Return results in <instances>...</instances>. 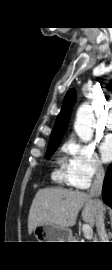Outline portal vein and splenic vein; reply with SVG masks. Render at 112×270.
Segmentation results:
<instances>
[{
  "label": "portal vein and splenic vein",
  "mask_w": 112,
  "mask_h": 270,
  "mask_svg": "<svg viewBox=\"0 0 112 270\" xmlns=\"http://www.w3.org/2000/svg\"><path fill=\"white\" fill-rule=\"evenodd\" d=\"M82 231L86 239L90 240L93 237V230L92 227L88 224H83Z\"/></svg>",
  "instance_id": "portal-vein-and-splenic-vein-1"
}]
</instances>
